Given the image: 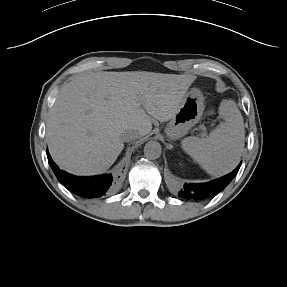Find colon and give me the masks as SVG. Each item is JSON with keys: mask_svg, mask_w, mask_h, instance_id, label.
Returning <instances> with one entry per match:
<instances>
[{"mask_svg": "<svg viewBox=\"0 0 287 287\" xmlns=\"http://www.w3.org/2000/svg\"><path fill=\"white\" fill-rule=\"evenodd\" d=\"M214 113V109L211 108L209 111H208V114H213Z\"/></svg>", "mask_w": 287, "mask_h": 287, "instance_id": "colon-1", "label": "colon"}]
</instances>
